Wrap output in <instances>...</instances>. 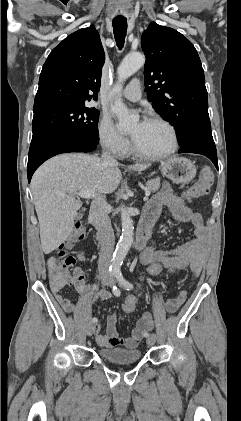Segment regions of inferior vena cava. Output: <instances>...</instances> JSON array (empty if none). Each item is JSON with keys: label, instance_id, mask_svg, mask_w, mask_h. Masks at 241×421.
Here are the masks:
<instances>
[{"label": "inferior vena cava", "instance_id": "obj_1", "mask_svg": "<svg viewBox=\"0 0 241 421\" xmlns=\"http://www.w3.org/2000/svg\"><path fill=\"white\" fill-rule=\"evenodd\" d=\"M102 160L107 165H117L116 159L108 151L103 150ZM109 206L104 197L92 201L89 218L98 231L101 241L98 270L101 277L109 276V267L112 262V253L115 245L114 232L108 216Z\"/></svg>", "mask_w": 241, "mask_h": 421}]
</instances>
